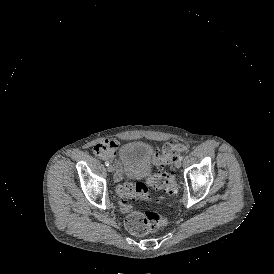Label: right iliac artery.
<instances>
[{
    "label": "right iliac artery",
    "mask_w": 274,
    "mask_h": 274,
    "mask_svg": "<svg viewBox=\"0 0 274 274\" xmlns=\"http://www.w3.org/2000/svg\"><path fill=\"white\" fill-rule=\"evenodd\" d=\"M105 165H106V166H109L110 164H109V162H108V161H106V162H105Z\"/></svg>",
    "instance_id": "obj_1"
}]
</instances>
